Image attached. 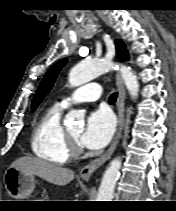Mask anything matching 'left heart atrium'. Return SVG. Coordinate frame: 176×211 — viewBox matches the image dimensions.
Returning <instances> with one entry per match:
<instances>
[{"label":"left heart atrium","mask_w":176,"mask_h":211,"mask_svg":"<svg viewBox=\"0 0 176 211\" xmlns=\"http://www.w3.org/2000/svg\"><path fill=\"white\" fill-rule=\"evenodd\" d=\"M114 129L112 114L105 109L96 110L87 119L80 143L89 149H101L111 140Z\"/></svg>","instance_id":"39dd6f15"}]
</instances>
